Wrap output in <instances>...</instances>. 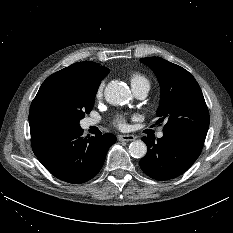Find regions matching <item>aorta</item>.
<instances>
[{
    "mask_svg": "<svg viewBox=\"0 0 233 233\" xmlns=\"http://www.w3.org/2000/svg\"><path fill=\"white\" fill-rule=\"evenodd\" d=\"M104 96L112 105H123L132 97L129 88L117 81H112L106 86ZM129 153L134 158H142L147 153V146L141 140L133 141L129 145Z\"/></svg>",
    "mask_w": 233,
    "mask_h": 233,
    "instance_id": "obj_1",
    "label": "aorta"
}]
</instances>
